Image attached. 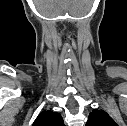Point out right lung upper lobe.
<instances>
[{
    "instance_id": "cb5924a9",
    "label": "right lung upper lobe",
    "mask_w": 127,
    "mask_h": 126,
    "mask_svg": "<svg viewBox=\"0 0 127 126\" xmlns=\"http://www.w3.org/2000/svg\"><path fill=\"white\" fill-rule=\"evenodd\" d=\"M32 126H65L60 114L53 111H42Z\"/></svg>"
}]
</instances>
